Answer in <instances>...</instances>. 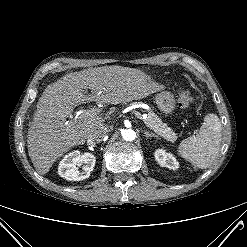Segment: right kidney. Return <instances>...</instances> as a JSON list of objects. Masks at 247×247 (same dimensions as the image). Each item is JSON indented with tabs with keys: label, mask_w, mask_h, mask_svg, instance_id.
<instances>
[{
	"label": "right kidney",
	"mask_w": 247,
	"mask_h": 247,
	"mask_svg": "<svg viewBox=\"0 0 247 247\" xmlns=\"http://www.w3.org/2000/svg\"><path fill=\"white\" fill-rule=\"evenodd\" d=\"M96 158L93 154L86 152L80 155L78 150H75L60 161L58 167V174L69 181H80L88 178L95 166ZM83 165L82 171H79L77 165Z\"/></svg>",
	"instance_id": "obj_1"
}]
</instances>
